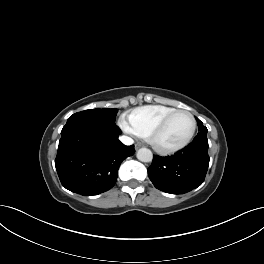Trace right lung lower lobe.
I'll return each mask as SVG.
<instances>
[{"mask_svg":"<svg viewBox=\"0 0 264 264\" xmlns=\"http://www.w3.org/2000/svg\"><path fill=\"white\" fill-rule=\"evenodd\" d=\"M116 125L77 120L61 131L55 166L62 185L75 193L90 196L111 189L121 162L135 153L134 145L118 140Z\"/></svg>","mask_w":264,"mask_h":264,"instance_id":"98d812e1","label":"right lung lower lobe"}]
</instances>
